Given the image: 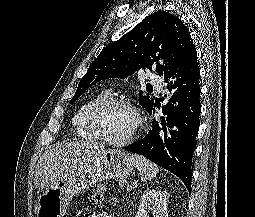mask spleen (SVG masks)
Listing matches in <instances>:
<instances>
[{"mask_svg": "<svg viewBox=\"0 0 255 217\" xmlns=\"http://www.w3.org/2000/svg\"><path fill=\"white\" fill-rule=\"evenodd\" d=\"M131 159L140 173L141 180L144 182L152 180L159 171L156 164L152 163L143 156L132 154Z\"/></svg>", "mask_w": 255, "mask_h": 217, "instance_id": "obj_1", "label": "spleen"}]
</instances>
